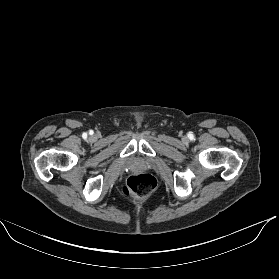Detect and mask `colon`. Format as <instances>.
I'll use <instances>...</instances> for the list:
<instances>
[{
    "instance_id": "5ec220e1",
    "label": "colon",
    "mask_w": 279,
    "mask_h": 279,
    "mask_svg": "<svg viewBox=\"0 0 279 279\" xmlns=\"http://www.w3.org/2000/svg\"><path fill=\"white\" fill-rule=\"evenodd\" d=\"M155 187V178L150 174L141 173L130 176L123 191L128 196L145 198L154 191Z\"/></svg>"
}]
</instances>
